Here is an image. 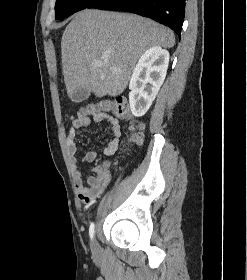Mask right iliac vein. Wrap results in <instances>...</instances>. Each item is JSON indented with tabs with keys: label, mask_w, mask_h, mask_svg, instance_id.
<instances>
[{
	"label": "right iliac vein",
	"mask_w": 247,
	"mask_h": 280,
	"mask_svg": "<svg viewBox=\"0 0 247 280\" xmlns=\"http://www.w3.org/2000/svg\"><path fill=\"white\" fill-rule=\"evenodd\" d=\"M91 249H92V252H93V253H97V251H98V245H97L96 240H93L92 245H91Z\"/></svg>",
	"instance_id": "63e3f726"
}]
</instances>
